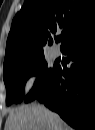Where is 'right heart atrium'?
Instances as JSON below:
<instances>
[{
  "label": "right heart atrium",
  "instance_id": "1",
  "mask_svg": "<svg viewBox=\"0 0 95 130\" xmlns=\"http://www.w3.org/2000/svg\"><path fill=\"white\" fill-rule=\"evenodd\" d=\"M39 85V76L36 73H30L23 81V90L25 94L34 92Z\"/></svg>",
  "mask_w": 95,
  "mask_h": 130
}]
</instances>
